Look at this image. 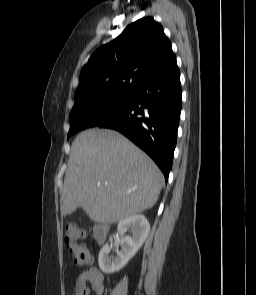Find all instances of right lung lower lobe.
<instances>
[{
    "label": "right lung lower lobe",
    "mask_w": 256,
    "mask_h": 295,
    "mask_svg": "<svg viewBox=\"0 0 256 295\" xmlns=\"http://www.w3.org/2000/svg\"><path fill=\"white\" fill-rule=\"evenodd\" d=\"M181 103L180 72L174 55L137 88L130 108L113 118L91 121L88 127L110 128L124 134L156 162L167 181Z\"/></svg>",
    "instance_id": "right-lung-lower-lobe-1"
}]
</instances>
